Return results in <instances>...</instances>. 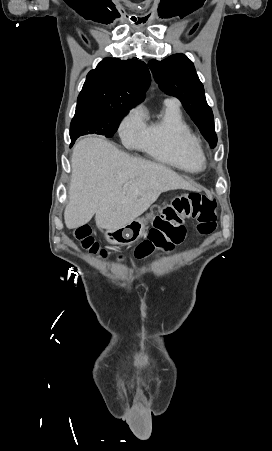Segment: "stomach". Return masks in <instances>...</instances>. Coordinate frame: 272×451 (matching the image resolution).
<instances>
[{
  "mask_svg": "<svg viewBox=\"0 0 272 451\" xmlns=\"http://www.w3.org/2000/svg\"><path fill=\"white\" fill-rule=\"evenodd\" d=\"M154 218V212L146 214L145 218H135L132 222H128L125 226L118 227V229H106L104 235L107 241L113 243V245H131L137 239H140L146 229L147 224Z\"/></svg>",
  "mask_w": 272,
  "mask_h": 451,
  "instance_id": "1",
  "label": "stomach"
}]
</instances>
